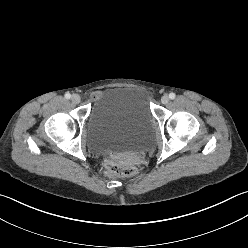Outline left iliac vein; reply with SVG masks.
Returning <instances> with one entry per match:
<instances>
[{"mask_svg":"<svg viewBox=\"0 0 248 248\" xmlns=\"http://www.w3.org/2000/svg\"><path fill=\"white\" fill-rule=\"evenodd\" d=\"M161 102L163 104H167L169 102V96L167 94H164L162 97H161Z\"/></svg>","mask_w":248,"mask_h":248,"instance_id":"obj_1","label":"left iliac vein"}]
</instances>
